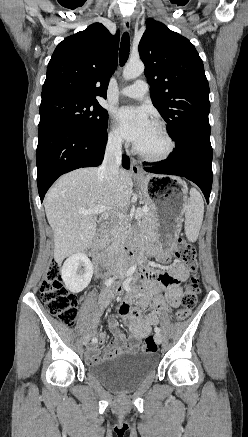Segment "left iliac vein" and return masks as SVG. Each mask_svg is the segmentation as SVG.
Here are the masks:
<instances>
[{"instance_id":"4c4485c4","label":"left iliac vein","mask_w":248,"mask_h":437,"mask_svg":"<svg viewBox=\"0 0 248 437\" xmlns=\"http://www.w3.org/2000/svg\"><path fill=\"white\" fill-rule=\"evenodd\" d=\"M154 339H155L157 344H161V342H162V335L160 333H156L154 335Z\"/></svg>"}]
</instances>
